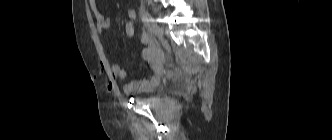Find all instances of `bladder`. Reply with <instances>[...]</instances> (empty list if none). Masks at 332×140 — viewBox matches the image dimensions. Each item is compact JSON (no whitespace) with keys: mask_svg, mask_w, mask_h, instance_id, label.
Here are the masks:
<instances>
[{"mask_svg":"<svg viewBox=\"0 0 332 140\" xmlns=\"http://www.w3.org/2000/svg\"><path fill=\"white\" fill-rule=\"evenodd\" d=\"M160 86V79L153 78L150 79L148 86L141 92V95L143 97H148L152 94H154Z\"/></svg>","mask_w":332,"mask_h":140,"instance_id":"bladder-1","label":"bladder"}]
</instances>
